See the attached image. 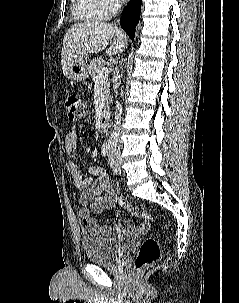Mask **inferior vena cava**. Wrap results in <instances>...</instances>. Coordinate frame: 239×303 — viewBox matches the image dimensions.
Returning a JSON list of instances; mask_svg holds the SVG:
<instances>
[{"label":"inferior vena cava","instance_id":"1","mask_svg":"<svg viewBox=\"0 0 239 303\" xmlns=\"http://www.w3.org/2000/svg\"><path fill=\"white\" fill-rule=\"evenodd\" d=\"M115 89H117V84L115 85ZM116 95L118 94L117 91H115ZM121 114H122V107L118 101H116V112H115V125L114 130L110 137V147L111 150H118L119 149V142H120V124H121Z\"/></svg>","mask_w":239,"mask_h":303}]
</instances>
